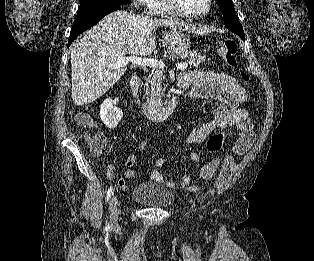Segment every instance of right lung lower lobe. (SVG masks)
I'll return each mask as SVG.
<instances>
[{
	"instance_id": "1",
	"label": "right lung lower lobe",
	"mask_w": 314,
	"mask_h": 261,
	"mask_svg": "<svg viewBox=\"0 0 314 261\" xmlns=\"http://www.w3.org/2000/svg\"><path fill=\"white\" fill-rule=\"evenodd\" d=\"M119 9H121L120 5H112V6L97 10L96 12L88 14L84 17L76 18L73 23V27H72L70 37L68 40V47L74 41V39L77 36H79L82 32L86 31L87 29L95 25L107 14L113 11L119 10Z\"/></svg>"
}]
</instances>
